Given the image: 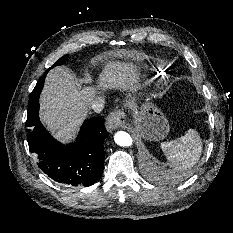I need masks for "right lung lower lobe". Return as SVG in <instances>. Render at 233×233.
<instances>
[{
	"instance_id": "obj_1",
	"label": "right lung lower lobe",
	"mask_w": 233,
	"mask_h": 233,
	"mask_svg": "<svg viewBox=\"0 0 233 233\" xmlns=\"http://www.w3.org/2000/svg\"><path fill=\"white\" fill-rule=\"evenodd\" d=\"M45 73L37 82L28 103V109L39 110V96L44 85ZM27 135L29 149L39 162V168L51 179L72 186H90L104 168V139L108 133L101 117L86 120L75 143L63 145L46 131L39 116L29 121Z\"/></svg>"
}]
</instances>
